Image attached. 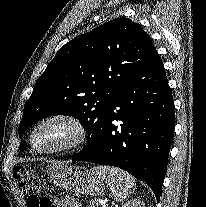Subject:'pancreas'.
<instances>
[{
	"label": "pancreas",
	"instance_id": "cf45deb5",
	"mask_svg": "<svg viewBox=\"0 0 206 207\" xmlns=\"http://www.w3.org/2000/svg\"><path fill=\"white\" fill-rule=\"evenodd\" d=\"M98 201L97 200H91L89 207H98Z\"/></svg>",
	"mask_w": 206,
	"mask_h": 207
}]
</instances>
